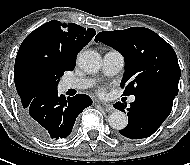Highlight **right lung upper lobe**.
I'll list each match as a JSON object with an SVG mask.
<instances>
[{"label":"right lung upper lobe","instance_id":"obj_1","mask_svg":"<svg viewBox=\"0 0 190 165\" xmlns=\"http://www.w3.org/2000/svg\"><path fill=\"white\" fill-rule=\"evenodd\" d=\"M96 34L93 28H83L77 24L52 20L31 32L22 42L16 56L14 81L22 108L39 93L32 80V68L40 58L58 62L74 69L76 56Z\"/></svg>","mask_w":190,"mask_h":165}]
</instances>
